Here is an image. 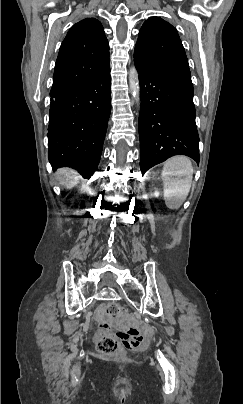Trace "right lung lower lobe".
Instances as JSON below:
<instances>
[{
    "label": "right lung lower lobe",
    "mask_w": 243,
    "mask_h": 404,
    "mask_svg": "<svg viewBox=\"0 0 243 404\" xmlns=\"http://www.w3.org/2000/svg\"><path fill=\"white\" fill-rule=\"evenodd\" d=\"M48 158L89 179L96 171L111 112L110 69L80 85L50 94Z\"/></svg>",
    "instance_id": "right-lung-lower-lobe-1"
}]
</instances>
